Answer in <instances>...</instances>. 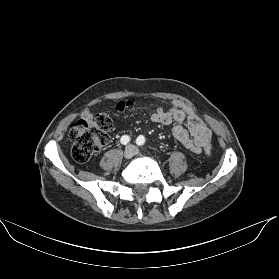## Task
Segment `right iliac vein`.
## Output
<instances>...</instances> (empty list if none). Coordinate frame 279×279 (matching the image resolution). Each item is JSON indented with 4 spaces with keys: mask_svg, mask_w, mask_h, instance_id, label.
Here are the masks:
<instances>
[{
    "mask_svg": "<svg viewBox=\"0 0 279 279\" xmlns=\"http://www.w3.org/2000/svg\"><path fill=\"white\" fill-rule=\"evenodd\" d=\"M135 154V147L132 145H129L125 148L123 156L125 159H130L134 156Z\"/></svg>",
    "mask_w": 279,
    "mask_h": 279,
    "instance_id": "obj_1",
    "label": "right iliac vein"
}]
</instances>
